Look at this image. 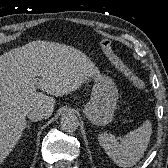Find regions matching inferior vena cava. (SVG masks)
<instances>
[{
	"label": "inferior vena cava",
	"mask_w": 168,
	"mask_h": 168,
	"mask_svg": "<svg viewBox=\"0 0 168 168\" xmlns=\"http://www.w3.org/2000/svg\"><path fill=\"white\" fill-rule=\"evenodd\" d=\"M27 117L31 120V121H40L44 118L47 117V114L43 111V110H40V109H37V108H34V109H31L28 114H27Z\"/></svg>",
	"instance_id": "1"
}]
</instances>
